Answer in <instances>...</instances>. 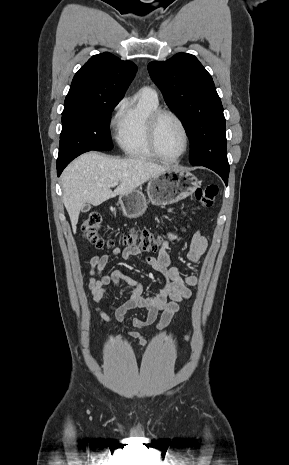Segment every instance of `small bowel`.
Returning <instances> with one entry per match:
<instances>
[{
	"instance_id": "small-bowel-1",
	"label": "small bowel",
	"mask_w": 289,
	"mask_h": 465,
	"mask_svg": "<svg viewBox=\"0 0 289 465\" xmlns=\"http://www.w3.org/2000/svg\"><path fill=\"white\" fill-rule=\"evenodd\" d=\"M179 235L180 232H170L161 245L157 256L143 257L145 263L153 270L160 273L165 280L163 287L151 296H146L144 294V287L141 283L127 276L122 271L113 269L109 273L104 272L107 264L114 257L119 255L125 260L134 257H142V253L138 249L126 247L121 250L115 247L111 252L100 256H94L90 261L91 277L89 279L88 289L95 304H99L108 290L119 287L122 282H125L131 287L129 298L119 305H110L111 309L114 311L115 320L122 323L126 313L131 309L144 308L148 311L145 318L133 319L132 325L134 329L129 331V335L137 338L142 346H145L147 341L138 329L153 324L159 312H162V315L156 327L158 329L168 327L174 315L179 310V303L190 298L192 287L198 283V277L196 275L185 273L180 268L171 266L170 257L167 252L168 244L170 241L178 238ZM188 241V259L192 263L197 264L207 252V240L199 230H194L188 236ZM168 299H170V301H168ZM96 310L103 320L107 322L112 320L101 308L97 307Z\"/></svg>"
}]
</instances>
